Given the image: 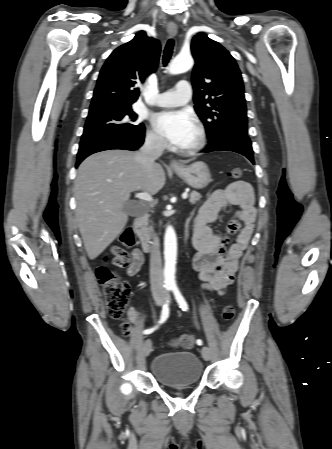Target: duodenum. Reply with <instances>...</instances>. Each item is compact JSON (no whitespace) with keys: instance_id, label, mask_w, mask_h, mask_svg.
Wrapping results in <instances>:
<instances>
[{"instance_id":"410a0bca","label":"duodenum","mask_w":332,"mask_h":449,"mask_svg":"<svg viewBox=\"0 0 332 449\" xmlns=\"http://www.w3.org/2000/svg\"><path fill=\"white\" fill-rule=\"evenodd\" d=\"M148 219L147 212L142 213L134 219L133 230L138 235L143 250H151V237L146 229Z\"/></svg>"}]
</instances>
